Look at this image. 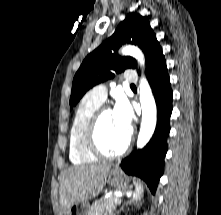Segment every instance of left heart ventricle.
<instances>
[{
    "mask_svg": "<svg viewBox=\"0 0 221 215\" xmlns=\"http://www.w3.org/2000/svg\"><path fill=\"white\" fill-rule=\"evenodd\" d=\"M129 135L130 133L120 127L113 111L104 114L99 125L98 140L105 151L114 153L121 150Z\"/></svg>",
    "mask_w": 221,
    "mask_h": 215,
    "instance_id": "obj_1",
    "label": "left heart ventricle"
}]
</instances>
